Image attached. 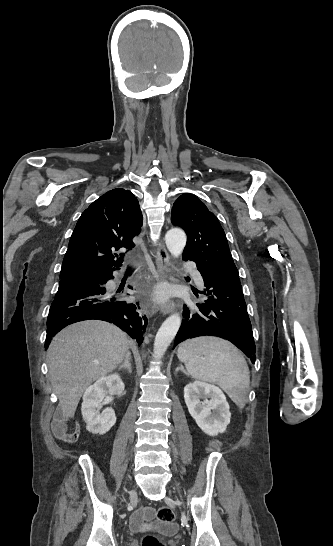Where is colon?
<instances>
[{
	"mask_svg": "<svg viewBox=\"0 0 333 546\" xmlns=\"http://www.w3.org/2000/svg\"><path fill=\"white\" fill-rule=\"evenodd\" d=\"M157 518L165 523L171 524L175 520V515L172 509L166 506H161L157 509ZM142 546H164L156 537L147 535L142 540Z\"/></svg>",
	"mask_w": 333,
	"mask_h": 546,
	"instance_id": "colon-1",
	"label": "colon"
}]
</instances>
